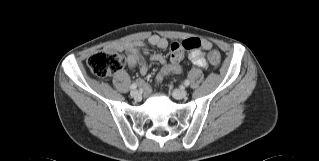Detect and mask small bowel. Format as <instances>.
Listing matches in <instances>:
<instances>
[{
	"mask_svg": "<svg viewBox=\"0 0 319 161\" xmlns=\"http://www.w3.org/2000/svg\"><path fill=\"white\" fill-rule=\"evenodd\" d=\"M149 44L158 48L165 49L168 46L167 41L159 35H152L149 40ZM211 43L207 40L202 41V48L209 49ZM148 45L144 42H123L117 43L110 47V50L116 52H125L127 54V64L133 69L139 67L141 75L148 73V67L142 56V53H147ZM188 60L197 67H205L207 65L204 53L202 50H196L187 55ZM150 59L163 65V74H178L181 72L180 64H173L171 61H167L162 54L156 53L151 55ZM161 80V75L157 78V81ZM140 86H144L143 81H139ZM148 91V89H146Z\"/></svg>",
	"mask_w": 319,
	"mask_h": 161,
	"instance_id": "c3829d8e",
	"label": "small bowel"
}]
</instances>
